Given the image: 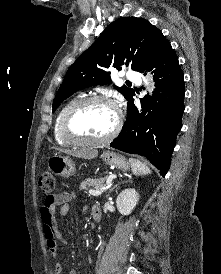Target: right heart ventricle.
<instances>
[{
	"label": "right heart ventricle",
	"mask_w": 221,
	"mask_h": 274,
	"mask_svg": "<svg viewBox=\"0 0 221 274\" xmlns=\"http://www.w3.org/2000/svg\"><path fill=\"white\" fill-rule=\"evenodd\" d=\"M71 103V102H70ZM67 103L65 106H63L60 111L58 112L56 118H55V122H54V127H53V135H54V139L55 141L62 146H69L72 145V143L70 141H68L67 139H65L60 131V121H61V117L62 114L64 112V110L67 108V106L70 104Z\"/></svg>",
	"instance_id": "e07e8e85"
}]
</instances>
